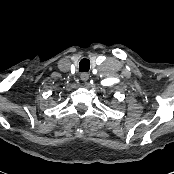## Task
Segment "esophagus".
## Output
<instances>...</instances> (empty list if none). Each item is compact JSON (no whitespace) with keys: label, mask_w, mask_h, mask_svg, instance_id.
I'll return each mask as SVG.
<instances>
[{"label":"esophagus","mask_w":174,"mask_h":174,"mask_svg":"<svg viewBox=\"0 0 174 174\" xmlns=\"http://www.w3.org/2000/svg\"><path fill=\"white\" fill-rule=\"evenodd\" d=\"M80 78H81V80H83V81H87V80L89 79V73H87V72L81 73V74H80Z\"/></svg>","instance_id":"34e87169"}]
</instances>
